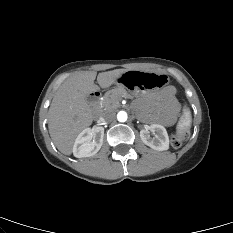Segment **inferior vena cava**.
I'll list each match as a JSON object with an SVG mask.
<instances>
[{
    "label": "inferior vena cava",
    "mask_w": 233,
    "mask_h": 233,
    "mask_svg": "<svg viewBox=\"0 0 233 233\" xmlns=\"http://www.w3.org/2000/svg\"><path fill=\"white\" fill-rule=\"evenodd\" d=\"M114 118H115V113L111 110H107V111L103 112L101 115V119L103 121H107V122L113 121Z\"/></svg>",
    "instance_id": "602c4592"
}]
</instances>
